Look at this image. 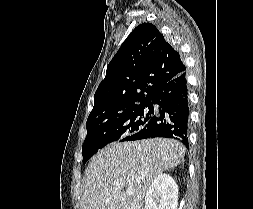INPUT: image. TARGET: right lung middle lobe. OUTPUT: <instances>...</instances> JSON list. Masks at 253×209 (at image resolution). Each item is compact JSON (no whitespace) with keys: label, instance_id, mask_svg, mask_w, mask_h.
I'll use <instances>...</instances> for the list:
<instances>
[{"label":"right lung middle lobe","instance_id":"right-lung-middle-lobe-1","mask_svg":"<svg viewBox=\"0 0 253 209\" xmlns=\"http://www.w3.org/2000/svg\"><path fill=\"white\" fill-rule=\"evenodd\" d=\"M152 115L149 103H145L119 113L87 119V136L82 146L83 163L107 144L126 141L142 130Z\"/></svg>","mask_w":253,"mask_h":209}]
</instances>
